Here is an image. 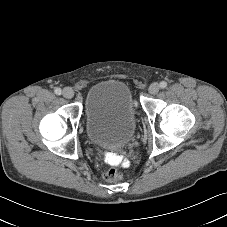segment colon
Returning <instances> with one entry per match:
<instances>
[{"mask_svg": "<svg viewBox=\"0 0 227 227\" xmlns=\"http://www.w3.org/2000/svg\"><path fill=\"white\" fill-rule=\"evenodd\" d=\"M107 161L110 164H116L120 161V156L116 153H109L107 155ZM103 178L110 183L117 182L122 178V175L115 168H109L103 173Z\"/></svg>", "mask_w": 227, "mask_h": 227, "instance_id": "1", "label": "colon"}]
</instances>
